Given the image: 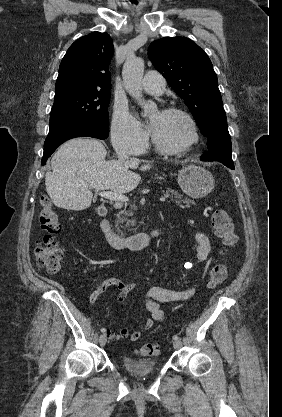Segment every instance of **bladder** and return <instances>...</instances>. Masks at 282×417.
Listing matches in <instances>:
<instances>
[{"label":"bladder","instance_id":"31cf9c89","mask_svg":"<svg viewBox=\"0 0 282 417\" xmlns=\"http://www.w3.org/2000/svg\"><path fill=\"white\" fill-rule=\"evenodd\" d=\"M157 363L155 360H143L130 356L122 358V368L130 375L142 378L155 371Z\"/></svg>","mask_w":282,"mask_h":417}]
</instances>
